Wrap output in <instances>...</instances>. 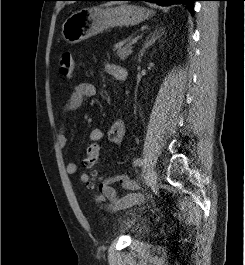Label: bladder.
I'll list each match as a JSON object with an SVG mask.
<instances>
[{
	"label": "bladder",
	"instance_id": "obj_1",
	"mask_svg": "<svg viewBox=\"0 0 245 265\" xmlns=\"http://www.w3.org/2000/svg\"><path fill=\"white\" fill-rule=\"evenodd\" d=\"M123 230H126L136 236L143 235L148 229L147 222L142 218H135L122 223Z\"/></svg>",
	"mask_w": 245,
	"mask_h": 265
}]
</instances>
